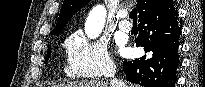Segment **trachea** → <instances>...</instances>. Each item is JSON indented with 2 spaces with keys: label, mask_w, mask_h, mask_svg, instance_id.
<instances>
[{
  "label": "trachea",
  "mask_w": 205,
  "mask_h": 87,
  "mask_svg": "<svg viewBox=\"0 0 205 87\" xmlns=\"http://www.w3.org/2000/svg\"><path fill=\"white\" fill-rule=\"evenodd\" d=\"M129 17L133 20V22H137V11H136V9H133L130 12Z\"/></svg>",
  "instance_id": "trachea-1"
}]
</instances>
